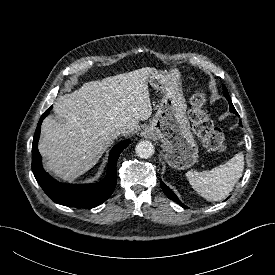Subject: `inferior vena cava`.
<instances>
[{"label": "inferior vena cava", "instance_id": "1", "mask_svg": "<svg viewBox=\"0 0 275 275\" xmlns=\"http://www.w3.org/2000/svg\"><path fill=\"white\" fill-rule=\"evenodd\" d=\"M116 133H117L118 135H120V134L125 135V134L128 133V131H127V129H126L125 127H120V128L116 131Z\"/></svg>", "mask_w": 275, "mask_h": 275}]
</instances>
